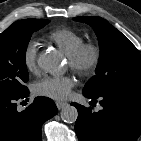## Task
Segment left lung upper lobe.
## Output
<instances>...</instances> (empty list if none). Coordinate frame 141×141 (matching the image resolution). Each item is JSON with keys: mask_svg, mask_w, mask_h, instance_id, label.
<instances>
[{"mask_svg": "<svg viewBox=\"0 0 141 141\" xmlns=\"http://www.w3.org/2000/svg\"><path fill=\"white\" fill-rule=\"evenodd\" d=\"M74 20L92 26L100 46L96 75L83 92L93 96L110 90L141 93V55L130 40L103 18L79 16Z\"/></svg>", "mask_w": 141, "mask_h": 141, "instance_id": "5c2ea615", "label": "left lung upper lobe"}]
</instances>
